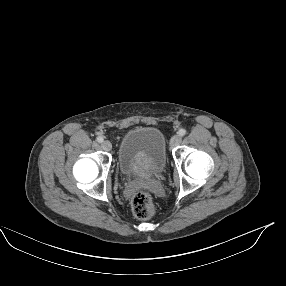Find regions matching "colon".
<instances>
[{
	"label": "colon",
	"mask_w": 286,
	"mask_h": 286,
	"mask_svg": "<svg viewBox=\"0 0 286 286\" xmlns=\"http://www.w3.org/2000/svg\"><path fill=\"white\" fill-rule=\"evenodd\" d=\"M132 212L138 219H148L155 212V205L151 196L143 191L134 195L131 200Z\"/></svg>",
	"instance_id": "5ec220e1"
}]
</instances>
